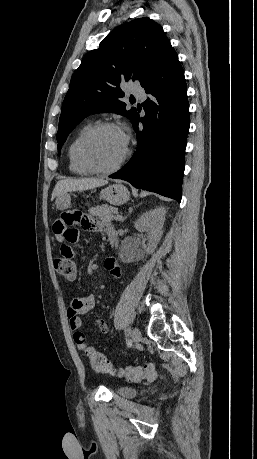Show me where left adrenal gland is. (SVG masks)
Returning <instances> with one entry per match:
<instances>
[{
	"label": "left adrenal gland",
	"instance_id": "1",
	"mask_svg": "<svg viewBox=\"0 0 257 459\" xmlns=\"http://www.w3.org/2000/svg\"><path fill=\"white\" fill-rule=\"evenodd\" d=\"M132 211H133V208H132V207H130V208H129V214H131V213H132ZM126 218H127V216H125V217H124V218L121 220V222H123V221H124Z\"/></svg>",
	"mask_w": 257,
	"mask_h": 459
}]
</instances>
